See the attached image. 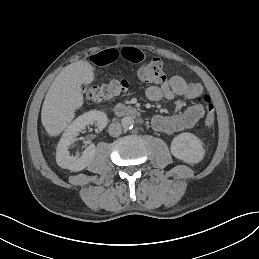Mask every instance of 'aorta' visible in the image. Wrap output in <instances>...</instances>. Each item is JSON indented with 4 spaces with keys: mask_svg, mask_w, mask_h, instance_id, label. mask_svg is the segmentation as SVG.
<instances>
[{
    "mask_svg": "<svg viewBox=\"0 0 259 259\" xmlns=\"http://www.w3.org/2000/svg\"><path fill=\"white\" fill-rule=\"evenodd\" d=\"M121 125L124 129H132L134 125V119L131 116H125L121 120Z\"/></svg>",
    "mask_w": 259,
    "mask_h": 259,
    "instance_id": "1",
    "label": "aorta"
}]
</instances>
